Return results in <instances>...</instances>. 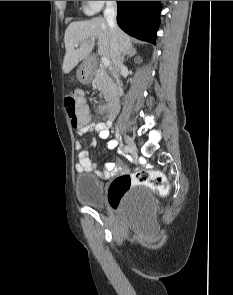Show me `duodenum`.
Here are the masks:
<instances>
[{
	"mask_svg": "<svg viewBox=\"0 0 233 295\" xmlns=\"http://www.w3.org/2000/svg\"><path fill=\"white\" fill-rule=\"evenodd\" d=\"M120 101V93L118 91H115L112 93L110 99H109V105H108V114L109 116H114L118 110Z\"/></svg>",
	"mask_w": 233,
	"mask_h": 295,
	"instance_id": "duodenum-1",
	"label": "duodenum"
}]
</instances>
